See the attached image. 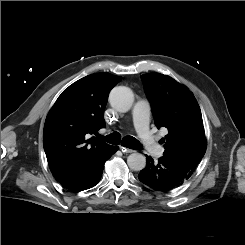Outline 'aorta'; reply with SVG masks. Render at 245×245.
Segmentation results:
<instances>
[{"mask_svg": "<svg viewBox=\"0 0 245 245\" xmlns=\"http://www.w3.org/2000/svg\"><path fill=\"white\" fill-rule=\"evenodd\" d=\"M134 96L132 91L125 86H118L111 90L109 95L110 105L119 112H127L132 107ZM127 164L133 171H140L146 166V158L140 153L128 156Z\"/></svg>", "mask_w": 245, "mask_h": 245, "instance_id": "762f6f07", "label": "aorta"}]
</instances>
